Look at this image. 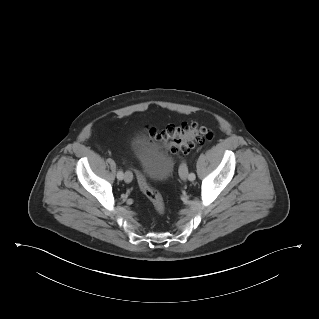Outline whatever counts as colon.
Here are the masks:
<instances>
[{
	"label": "colon",
	"mask_w": 319,
	"mask_h": 319,
	"mask_svg": "<svg viewBox=\"0 0 319 319\" xmlns=\"http://www.w3.org/2000/svg\"><path fill=\"white\" fill-rule=\"evenodd\" d=\"M149 137L156 142L165 143L170 151L182 157L187 155L197 145L212 137L211 130L196 122H183L178 126H169L161 132L149 131ZM138 184L144 195L152 203L155 211L162 215L165 213V203L160 193L153 188L145 176L135 171Z\"/></svg>",
	"instance_id": "colon-1"
}]
</instances>
